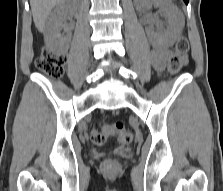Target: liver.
I'll list each match as a JSON object with an SVG mask.
<instances>
[{
    "instance_id": "liver-1",
    "label": "liver",
    "mask_w": 223,
    "mask_h": 191,
    "mask_svg": "<svg viewBox=\"0 0 223 191\" xmlns=\"http://www.w3.org/2000/svg\"><path fill=\"white\" fill-rule=\"evenodd\" d=\"M62 0H30L33 20L36 28L43 32L46 20L52 9Z\"/></svg>"
}]
</instances>
